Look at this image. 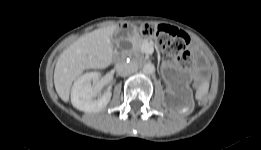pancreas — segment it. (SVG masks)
<instances>
[{"mask_svg": "<svg viewBox=\"0 0 261 150\" xmlns=\"http://www.w3.org/2000/svg\"><path fill=\"white\" fill-rule=\"evenodd\" d=\"M151 44L152 42L148 39V40H146V39H143V38H136L135 40H134V44H135V47H136V49L141 53V54H143V52H142V50H141V47H142V45L143 44Z\"/></svg>", "mask_w": 261, "mask_h": 150, "instance_id": "obj_1", "label": "pancreas"}]
</instances>
